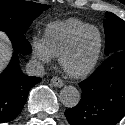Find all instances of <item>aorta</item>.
Masks as SVG:
<instances>
[{"instance_id":"obj_1","label":"aorta","mask_w":125,"mask_h":125,"mask_svg":"<svg viewBox=\"0 0 125 125\" xmlns=\"http://www.w3.org/2000/svg\"><path fill=\"white\" fill-rule=\"evenodd\" d=\"M60 101L68 108L75 107L80 101V93L77 88L73 86H65L60 91Z\"/></svg>"}]
</instances>
